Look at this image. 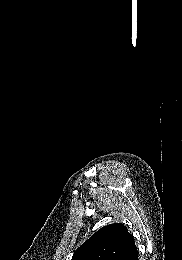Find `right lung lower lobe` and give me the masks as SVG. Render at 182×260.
Instances as JSON below:
<instances>
[{
  "mask_svg": "<svg viewBox=\"0 0 182 260\" xmlns=\"http://www.w3.org/2000/svg\"><path fill=\"white\" fill-rule=\"evenodd\" d=\"M135 260H138V256L135 258Z\"/></svg>",
  "mask_w": 182,
  "mask_h": 260,
  "instance_id": "98d812e1",
  "label": "right lung lower lobe"
}]
</instances>
